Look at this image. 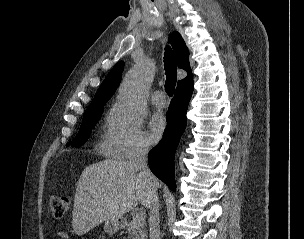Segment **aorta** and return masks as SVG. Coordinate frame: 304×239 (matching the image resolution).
I'll return each instance as SVG.
<instances>
[{
	"label": "aorta",
	"instance_id": "1",
	"mask_svg": "<svg viewBox=\"0 0 304 239\" xmlns=\"http://www.w3.org/2000/svg\"><path fill=\"white\" fill-rule=\"evenodd\" d=\"M153 76L152 64L145 61L127 74L119 89L120 104L134 119H140L145 115L148 89Z\"/></svg>",
	"mask_w": 304,
	"mask_h": 239
}]
</instances>
